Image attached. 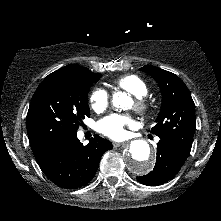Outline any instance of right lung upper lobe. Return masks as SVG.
Wrapping results in <instances>:
<instances>
[{
  "mask_svg": "<svg viewBox=\"0 0 221 221\" xmlns=\"http://www.w3.org/2000/svg\"><path fill=\"white\" fill-rule=\"evenodd\" d=\"M57 73H69V74H76V75H83L91 72L85 67L78 66L76 64L67 65L59 70L55 71Z\"/></svg>",
  "mask_w": 221,
  "mask_h": 221,
  "instance_id": "right-lung-upper-lobe-1",
  "label": "right lung upper lobe"
}]
</instances>
